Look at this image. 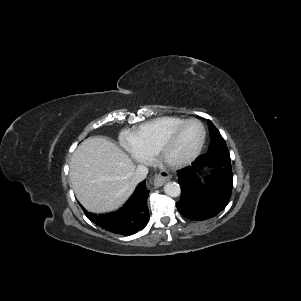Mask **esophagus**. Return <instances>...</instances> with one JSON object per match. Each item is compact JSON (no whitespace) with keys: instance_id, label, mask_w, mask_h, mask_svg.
I'll use <instances>...</instances> for the list:
<instances>
[{"instance_id":"34e87169","label":"esophagus","mask_w":301,"mask_h":301,"mask_svg":"<svg viewBox=\"0 0 301 301\" xmlns=\"http://www.w3.org/2000/svg\"><path fill=\"white\" fill-rule=\"evenodd\" d=\"M171 175L166 171H161L159 174L155 175L154 178V186L161 187L164 185L168 180H170Z\"/></svg>"}]
</instances>
